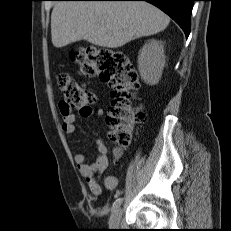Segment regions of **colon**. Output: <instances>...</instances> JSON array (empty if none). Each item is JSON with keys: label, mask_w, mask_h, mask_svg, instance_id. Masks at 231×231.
<instances>
[{"label": "colon", "mask_w": 231, "mask_h": 231, "mask_svg": "<svg viewBox=\"0 0 231 231\" xmlns=\"http://www.w3.org/2000/svg\"><path fill=\"white\" fill-rule=\"evenodd\" d=\"M79 63L83 77L99 75L112 92V103L107 122L113 129L112 140L120 147L126 148L131 142L129 126L145 119L140 107L132 104L134 92L140 86L138 75L128 56L116 49L105 47H88L79 54H74ZM62 100L60 107L63 114L73 109H87L95 103L96 97L89 90L78 84L69 74L57 76Z\"/></svg>", "instance_id": "5ec220e1"}]
</instances>
